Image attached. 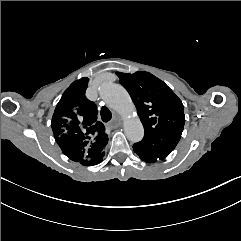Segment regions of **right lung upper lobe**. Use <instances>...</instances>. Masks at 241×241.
<instances>
[{
  "mask_svg": "<svg viewBox=\"0 0 241 241\" xmlns=\"http://www.w3.org/2000/svg\"><path fill=\"white\" fill-rule=\"evenodd\" d=\"M88 81V78H81L66 89L51 121L62 152L83 166L101 162L108 142L105 126L97 120V107L85 96Z\"/></svg>",
  "mask_w": 241,
  "mask_h": 241,
  "instance_id": "1",
  "label": "right lung upper lobe"
}]
</instances>
